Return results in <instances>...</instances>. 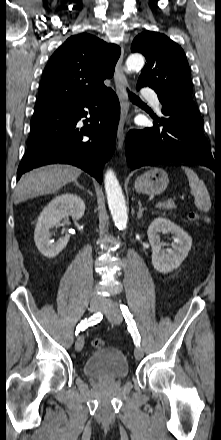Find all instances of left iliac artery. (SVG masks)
I'll return each instance as SVG.
<instances>
[{"label": "left iliac artery", "mask_w": 221, "mask_h": 440, "mask_svg": "<svg viewBox=\"0 0 221 440\" xmlns=\"http://www.w3.org/2000/svg\"><path fill=\"white\" fill-rule=\"evenodd\" d=\"M122 314L125 318L126 323L128 324V330L133 336V340L136 345H140V335L138 329L136 327L135 321L133 320V316L130 313L128 307L126 305H120Z\"/></svg>", "instance_id": "44dca946"}]
</instances>
